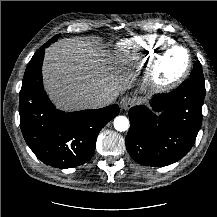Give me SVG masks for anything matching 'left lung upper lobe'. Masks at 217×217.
<instances>
[{
    "instance_id": "left-lung-upper-lobe-1",
    "label": "left lung upper lobe",
    "mask_w": 217,
    "mask_h": 217,
    "mask_svg": "<svg viewBox=\"0 0 217 217\" xmlns=\"http://www.w3.org/2000/svg\"><path fill=\"white\" fill-rule=\"evenodd\" d=\"M190 79L194 80L199 86L205 87L204 86L205 80L202 72V66L199 61L195 63L193 71L190 74Z\"/></svg>"
}]
</instances>
